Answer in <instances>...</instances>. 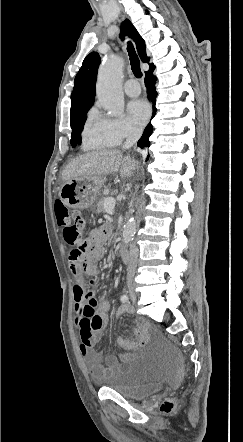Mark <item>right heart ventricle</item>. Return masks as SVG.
<instances>
[{"instance_id":"obj_1","label":"right heart ventricle","mask_w":243,"mask_h":442,"mask_svg":"<svg viewBox=\"0 0 243 442\" xmlns=\"http://www.w3.org/2000/svg\"><path fill=\"white\" fill-rule=\"evenodd\" d=\"M117 142L105 128V120L96 110L88 113L86 123L82 130V147L84 150H93L112 147Z\"/></svg>"}]
</instances>
